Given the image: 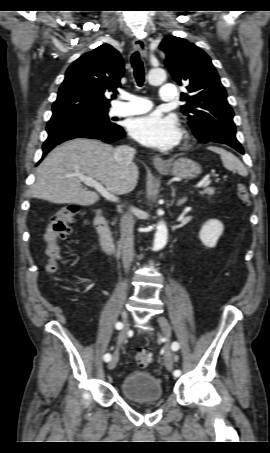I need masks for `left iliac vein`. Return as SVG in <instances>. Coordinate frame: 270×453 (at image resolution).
Masks as SVG:
<instances>
[{"label":"left iliac vein","mask_w":270,"mask_h":453,"mask_svg":"<svg viewBox=\"0 0 270 453\" xmlns=\"http://www.w3.org/2000/svg\"><path fill=\"white\" fill-rule=\"evenodd\" d=\"M158 323L163 331L164 337L166 339V345H165V356H164V361H165V366L166 368L171 371L173 369V358L170 350V338H171V325L169 321L163 317L160 316L158 318Z\"/></svg>","instance_id":"1"}]
</instances>
